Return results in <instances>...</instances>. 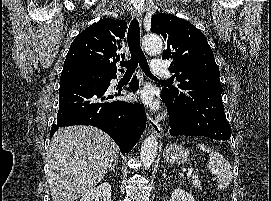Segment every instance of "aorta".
<instances>
[{"label":"aorta","mask_w":271,"mask_h":201,"mask_svg":"<svg viewBox=\"0 0 271 201\" xmlns=\"http://www.w3.org/2000/svg\"><path fill=\"white\" fill-rule=\"evenodd\" d=\"M142 44L148 53H161L163 49V42L160 36L156 34H146L142 39ZM158 142L153 135L148 136L142 143L140 150V159L144 168L148 169L157 154Z\"/></svg>","instance_id":"1"}]
</instances>
